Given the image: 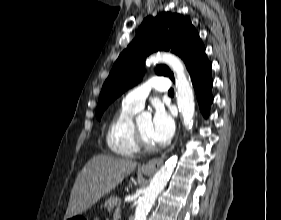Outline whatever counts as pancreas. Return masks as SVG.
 I'll use <instances>...</instances> for the list:
<instances>
[{
	"mask_svg": "<svg viewBox=\"0 0 281 220\" xmlns=\"http://www.w3.org/2000/svg\"><path fill=\"white\" fill-rule=\"evenodd\" d=\"M120 204V198L117 196H112L109 199H107L104 203V208H107L108 212H111L114 207H118V205Z\"/></svg>",
	"mask_w": 281,
	"mask_h": 220,
	"instance_id": "obj_1",
	"label": "pancreas"
}]
</instances>
